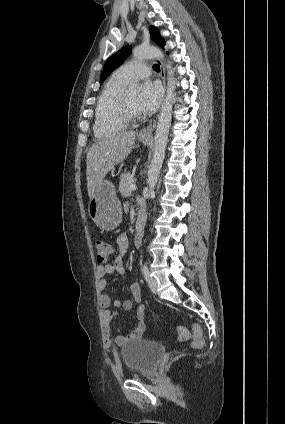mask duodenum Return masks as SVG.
<instances>
[{
  "instance_id": "obj_1",
  "label": "duodenum",
  "mask_w": 285,
  "mask_h": 424,
  "mask_svg": "<svg viewBox=\"0 0 285 424\" xmlns=\"http://www.w3.org/2000/svg\"><path fill=\"white\" fill-rule=\"evenodd\" d=\"M146 217L143 213H140L135 224V232L137 237H140L143 234L145 226Z\"/></svg>"
}]
</instances>
